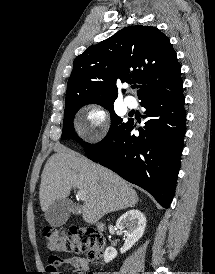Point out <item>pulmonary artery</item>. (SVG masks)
<instances>
[{
    "label": "pulmonary artery",
    "instance_id": "e3ab8cb5",
    "mask_svg": "<svg viewBox=\"0 0 215 274\" xmlns=\"http://www.w3.org/2000/svg\"><path fill=\"white\" fill-rule=\"evenodd\" d=\"M125 104L130 109H135L137 107V100L133 96H127L125 98Z\"/></svg>",
    "mask_w": 215,
    "mask_h": 274
}]
</instances>
